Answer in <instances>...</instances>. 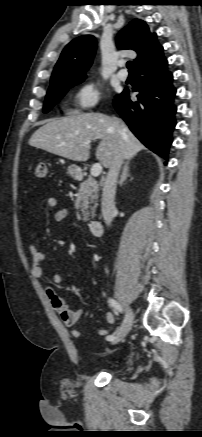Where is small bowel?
I'll return each instance as SVG.
<instances>
[{
  "label": "small bowel",
  "instance_id": "obj_1",
  "mask_svg": "<svg viewBox=\"0 0 202 437\" xmlns=\"http://www.w3.org/2000/svg\"><path fill=\"white\" fill-rule=\"evenodd\" d=\"M46 203L49 207L54 208L58 205V200L55 197H49ZM68 215L69 212L67 209H58L54 214V218L56 221H62L66 219ZM29 251L31 254V274L37 279L41 278L44 274L43 264L46 259V255L45 253L38 250V248L34 244H31L29 246ZM53 282L56 285L61 284L62 275L59 272H56L53 275ZM45 293L51 307L58 313L66 327H74L79 322L81 317L88 312V310L85 308H81L78 310L70 309L65 301L57 294V292L52 287H47ZM104 319L107 323V326L101 328L98 331L99 335L101 336H107L111 330V326L115 322L114 315L110 312L105 314ZM71 334L73 337L77 338L82 334V331L79 329H73L71 331Z\"/></svg>",
  "mask_w": 202,
  "mask_h": 437
}]
</instances>
